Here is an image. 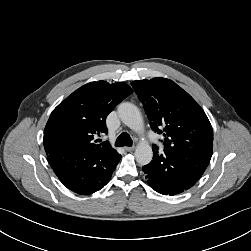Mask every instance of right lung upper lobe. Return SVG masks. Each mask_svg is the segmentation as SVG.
I'll return each instance as SVG.
<instances>
[{
	"label": "right lung upper lobe",
	"mask_w": 251,
	"mask_h": 251,
	"mask_svg": "<svg viewBox=\"0 0 251 251\" xmlns=\"http://www.w3.org/2000/svg\"><path fill=\"white\" fill-rule=\"evenodd\" d=\"M132 93L131 87L124 82L109 84L105 81L90 82L74 91L49 117L44 130L46 153L60 149L55 141L66 138L64 147L99 154L106 165H112L117 151L106 142L95 144L94 135L107 133V115Z\"/></svg>",
	"instance_id": "obj_1"
}]
</instances>
